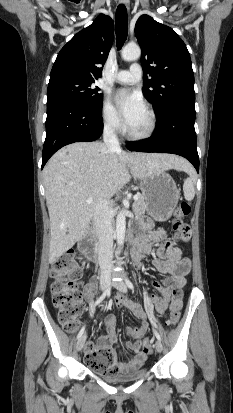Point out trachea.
Returning <instances> with one entry per match:
<instances>
[{"label":"trachea","mask_w":233,"mask_h":413,"mask_svg":"<svg viewBox=\"0 0 233 413\" xmlns=\"http://www.w3.org/2000/svg\"><path fill=\"white\" fill-rule=\"evenodd\" d=\"M115 26L117 48L121 49L128 35L127 9L124 4H120L117 7L115 15Z\"/></svg>","instance_id":"1"}]
</instances>
